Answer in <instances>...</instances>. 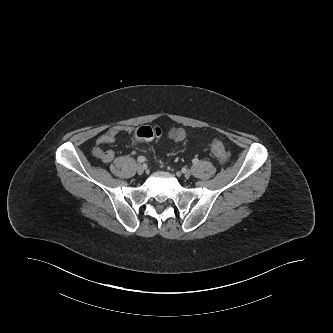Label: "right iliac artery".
I'll return each mask as SVG.
<instances>
[{
	"mask_svg": "<svg viewBox=\"0 0 333 333\" xmlns=\"http://www.w3.org/2000/svg\"><path fill=\"white\" fill-rule=\"evenodd\" d=\"M145 160H146V158H145L144 156H139V157L137 158V161H138L139 163H143V162H145Z\"/></svg>",
	"mask_w": 333,
	"mask_h": 333,
	"instance_id": "82829eb1",
	"label": "right iliac artery"
}]
</instances>
